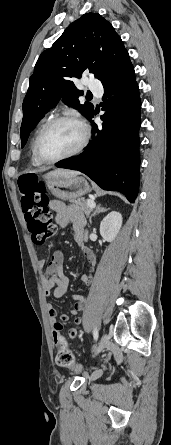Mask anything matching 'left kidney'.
<instances>
[{
  "instance_id": "1",
  "label": "left kidney",
  "mask_w": 171,
  "mask_h": 445,
  "mask_svg": "<svg viewBox=\"0 0 171 445\" xmlns=\"http://www.w3.org/2000/svg\"><path fill=\"white\" fill-rule=\"evenodd\" d=\"M122 226V215L119 212H110L100 224V234L104 240L112 242L115 240Z\"/></svg>"
}]
</instances>
